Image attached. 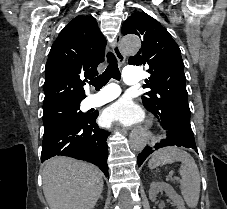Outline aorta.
<instances>
[{"mask_svg": "<svg viewBox=\"0 0 227 209\" xmlns=\"http://www.w3.org/2000/svg\"><path fill=\"white\" fill-rule=\"evenodd\" d=\"M140 48V39L131 35L122 39L121 49L125 54H134ZM146 144V133L141 131L133 135L131 139V147L136 151H141Z\"/></svg>", "mask_w": 227, "mask_h": 209, "instance_id": "aorta-1", "label": "aorta"}]
</instances>
